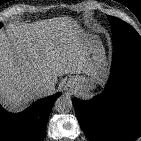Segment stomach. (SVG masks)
Segmentation results:
<instances>
[{
    "label": "stomach",
    "mask_w": 141,
    "mask_h": 141,
    "mask_svg": "<svg viewBox=\"0 0 141 141\" xmlns=\"http://www.w3.org/2000/svg\"><path fill=\"white\" fill-rule=\"evenodd\" d=\"M85 38L86 40H88L89 42V45L88 47L90 48V50L92 51H95L98 49L99 47V43L94 40L93 38H87V37H83ZM69 84H71L72 87H76L78 86L79 84L80 85H87V82L85 80L84 77H81V76H73L70 80H69Z\"/></svg>",
    "instance_id": "stomach-1"
}]
</instances>
